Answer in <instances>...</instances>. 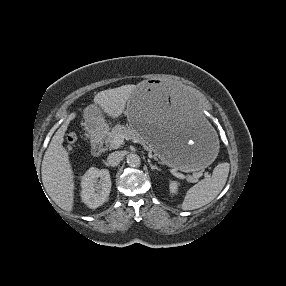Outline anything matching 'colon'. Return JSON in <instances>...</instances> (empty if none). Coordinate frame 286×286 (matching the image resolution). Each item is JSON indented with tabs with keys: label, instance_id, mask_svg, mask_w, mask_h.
Masks as SVG:
<instances>
[{
	"label": "colon",
	"instance_id": "obj_1",
	"mask_svg": "<svg viewBox=\"0 0 286 286\" xmlns=\"http://www.w3.org/2000/svg\"><path fill=\"white\" fill-rule=\"evenodd\" d=\"M75 141H76V137H75V135H71L70 137H69V140H68V147L70 148V147H72L73 145H74V143H75Z\"/></svg>",
	"mask_w": 286,
	"mask_h": 286
}]
</instances>
